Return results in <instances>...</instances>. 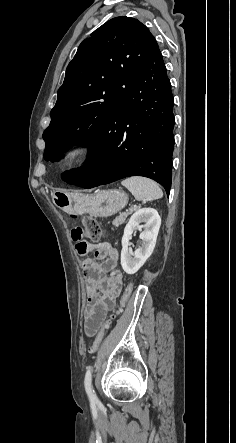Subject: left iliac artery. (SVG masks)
I'll return each instance as SVG.
<instances>
[{
	"instance_id": "obj_1",
	"label": "left iliac artery",
	"mask_w": 236,
	"mask_h": 443,
	"mask_svg": "<svg viewBox=\"0 0 236 443\" xmlns=\"http://www.w3.org/2000/svg\"><path fill=\"white\" fill-rule=\"evenodd\" d=\"M84 385H85L86 393H87L91 403L97 402L98 398H97L95 391L92 387V367L91 366H89L87 368V371L85 374Z\"/></svg>"
}]
</instances>
